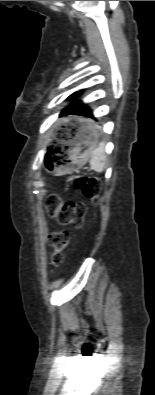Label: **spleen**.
I'll return each instance as SVG.
<instances>
[{
	"label": "spleen",
	"instance_id": "obj_1",
	"mask_svg": "<svg viewBox=\"0 0 155 395\" xmlns=\"http://www.w3.org/2000/svg\"><path fill=\"white\" fill-rule=\"evenodd\" d=\"M105 143L101 142L99 146L93 150L90 160V166L97 172H102L105 167Z\"/></svg>",
	"mask_w": 155,
	"mask_h": 395
}]
</instances>
